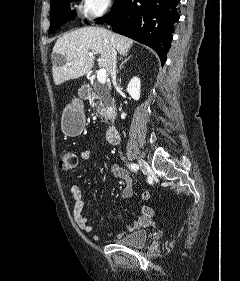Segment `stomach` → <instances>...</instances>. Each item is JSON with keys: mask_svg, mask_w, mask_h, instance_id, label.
<instances>
[{"mask_svg": "<svg viewBox=\"0 0 240 281\" xmlns=\"http://www.w3.org/2000/svg\"><path fill=\"white\" fill-rule=\"evenodd\" d=\"M85 126V115L80 103L73 102L66 106L61 117V128L67 136L79 135Z\"/></svg>", "mask_w": 240, "mask_h": 281, "instance_id": "stomach-1", "label": "stomach"}]
</instances>
